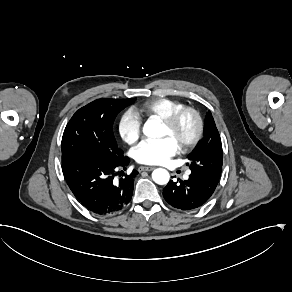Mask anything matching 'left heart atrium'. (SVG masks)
Masks as SVG:
<instances>
[{
	"mask_svg": "<svg viewBox=\"0 0 292 292\" xmlns=\"http://www.w3.org/2000/svg\"><path fill=\"white\" fill-rule=\"evenodd\" d=\"M180 151L179 143L171 136L160 140H144L135 150L139 163L163 164Z\"/></svg>",
	"mask_w": 292,
	"mask_h": 292,
	"instance_id": "1",
	"label": "left heart atrium"
}]
</instances>
